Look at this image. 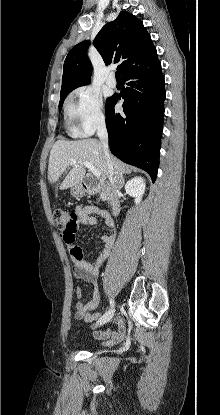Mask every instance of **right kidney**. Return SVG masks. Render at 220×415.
I'll return each instance as SVG.
<instances>
[{"instance_id": "right-kidney-1", "label": "right kidney", "mask_w": 220, "mask_h": 415, "mask_svg": "<svg viewBox=\"0 0 220 415\" xmlns=\"http://www.w3.org/2000/svg\"><path fill=\"white\" fill-rule=\"evenodd\" d=\"M145 182L141 177H134L125 185L126 193L135 198V203L140 204L142 196L145 192Z\"/></svg>"}]
</instances>
